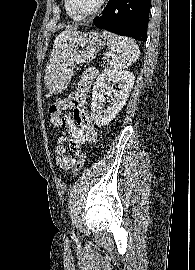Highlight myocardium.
<instances>
[{
  "label": "myocardium",
  "instance_id": "1",
  "mask_svg": "<svg viewBox=\"0 0 195 270\" xmlns=\"http://www.w3.org/2000/svg\"><path fill=\"white\" fill-rule=\"evenodd\" d=\"M106 1L107 0H100L99 3L97 4V6L93 10H91L90 12H88L86 14H78L73 10L72 5H71V0H65L68 11L75 18H77L79 20L88 19V18H91V17L95 16L96 14H98L102 10V8L104 7Z\"/></svg>",
  "mask_w": 195,
  "mask_h": 270
}]
</instances>
